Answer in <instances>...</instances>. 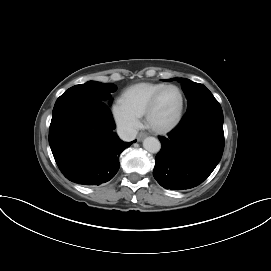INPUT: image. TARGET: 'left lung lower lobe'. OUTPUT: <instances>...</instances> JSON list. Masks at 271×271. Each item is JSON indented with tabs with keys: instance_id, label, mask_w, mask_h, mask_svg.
I'll list each match as a JSON object with an SVG mask.
<instances>
[{
	"instance_id": "1",
	"label": "left lung lower lobe",
	"mask_w": 271,
	"mask_h": 271,
	"mask_svg": "<svg viewBox=\"0 0 271 271\" xmlns=\"http://www.w3.org/2000/svg\"><path fill=\"white\" fill-rule=\"evenodd\" d=\"M154 178L165 189L183 190L202 183L219 163L224 150L223 112L216 99L188 109L167 137L159 138Z\"/></svg>"
}]
</instances>
